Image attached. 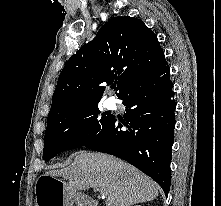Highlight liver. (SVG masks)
<instances>
[{
	"mask_svg": "<svg viewBox=\"0 0 221 206\" xmlns=\"http://www.w3.org/2000/svg\"><path fill=\"white\" fill-rule=\"evenodd\" d=\"M74 161L60 170L46 174L63 177L80 190L94 188L107 195L106 206H131L158 196L159 186L148 176L111 155L80 151Z\"/></svg>",
	"mask_w": 221,
	"mask_h": 206,
	"instance_id": "6515ba94",
	"label": "liver"
}]
</instances>
